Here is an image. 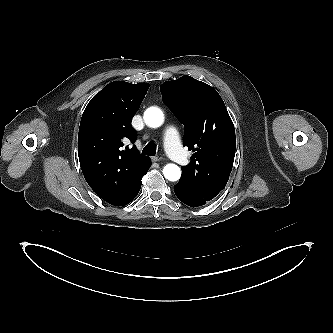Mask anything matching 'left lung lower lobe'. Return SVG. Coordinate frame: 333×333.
Wrapping results in <instances>:
<instances>
[{"instance_id": "obj_1", "label": "left lung lower lobe", "mask_w": 333, "mask_h": 333, "mask_svg": "<svg viewBox=\"0 0 333 333\" xmlns=\"http://www.w3.org/2000/svg\"><path fill=\"white\" fill-rule=\"evenodd\" d=\"M174 192L181 202L191 207L202 206L211 201L180 181L174 186Z\"/></svg>"}]
</instances>
